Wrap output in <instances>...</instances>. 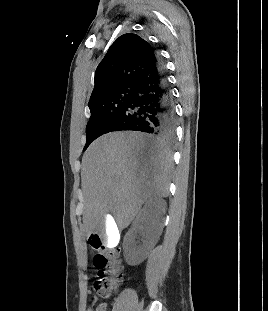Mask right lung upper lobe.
I'll return each mask as SVG.
<instances>
[{"instance_id":"1","label":"right lung upper lobe","mask_w":268,"mask_h":311,"mask_svg":"<svg viewBox=\"0 0 268 311\" xmlns=\"http://www.w3.org/2000/svg\"><path fill=\"white\" fill-rule=\"evenodd\" d=\"M151 45L133 33L120 36L108 49L95 71L89 104L120 88L134 86L156 63Z\"/></svg>"}]
</instances>
